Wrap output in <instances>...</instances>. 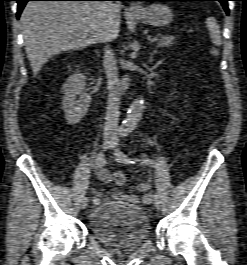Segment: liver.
Here are the masks:
<instances>
[{"instance_id": "obj_1", "label": "liver", "mask_w": 247, "mask_h": 265, "mask_svg": "<svg viewBox=\"0 0 247 265\" xmlns=\"http://www.w3.org/2000/svg\"><path fill=\"white\" fill-rule=\"evenodd\" d=\"M24 44L35 77L53 56L117 38L120 4L30 1L20 17Z\"/></svg>"}]
</instances>
